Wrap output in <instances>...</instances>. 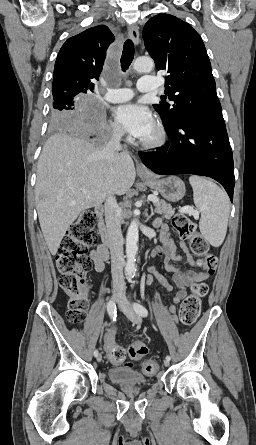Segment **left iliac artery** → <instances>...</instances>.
<instances>
[{
    "label": "left iliac artery",
    "mask_w": 256,
    "mask_h": 445,
    "mask_svg": "<svg viewBox=\"0 0 256 445\" xmlns=\"http://www.w3.org/2000/svg\"><path fill=\"white\" fill-rule=\"evenodd\" d=\"M133 306H134V310L136 311V313L139 314L140 316L146 317L148 315V311L143 305H141L139 303H134ZM166 359L168 361H170L171 357L169 355H167Z\"/></svg>",
    "instance_id": "left-iliac-artery-1"
}]
</instances>
